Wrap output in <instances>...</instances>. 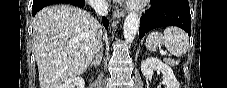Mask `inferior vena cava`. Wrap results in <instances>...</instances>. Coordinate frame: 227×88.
I'll list each match as a JSON object with an SVG mask.
<instances>
[{
  "label": "inferior vena cava",
  "mask_w": 227,
  "mask_h": 88,
  "mask_svg": "<svg viewBox=\"0 0 227 88\" xmlns=\"http://www.w3.org/2000/svg\"><path fill=\"white\" fill-rule=\"evenodd\" d=\"M92 7L96 11L97 15H99V16H106L108 14L106 0H97V1L93 2ZM101 49H102V44L100 46H98V48L96 50L97 54H98V52L101 51Z\"/></svg>",
  "instance_id": "obj_1"
}]
</instances>
